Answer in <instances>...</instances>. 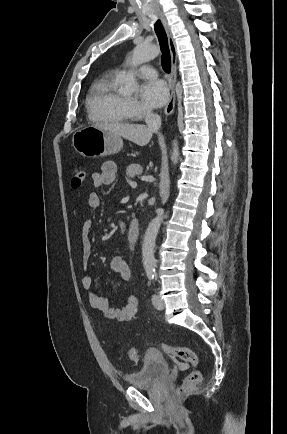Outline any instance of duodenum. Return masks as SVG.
<instances>
[{
  "instance_id": "410a0bca",
  "label": "duodenum",
  "mask_w": 287,
  "mask_h": 434,
  "mask_svg": "<svg viewBox=\"0 0 287 434\" xmlns=\"http://www.w3.org/2000/svg\"><path fill=\"white\" fill-rule=\"evenodd\" d=\"M140 235V225L138 220L132 219L127 230V238L131 244H135Z\"/></svg>"
}]
</instances>
